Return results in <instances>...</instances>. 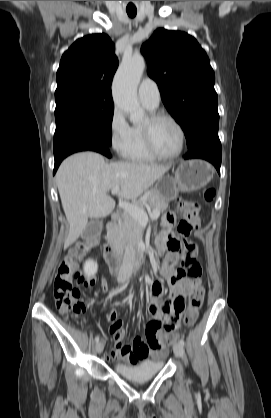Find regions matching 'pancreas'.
<instances>
[{
  "label": "pancreas",
  "instance_id": "pancreas-1",
  "mask_svg": "<svg viewBox=\"0 0 271 418\" xmlns=\"http://www.w3.org/2000/svg\"><path fill=\"white\" fill-rule=\"evenodd\" d=\"M146 199L149 208L153 211L157 210L161 213L167 208V201L154 189L146 193ZM135 204L143 209L147 206L146 202L141 199L136 201ZM110 235L120 240L123 245L128 241H140L143 235L142 224L128 212H124L118 219L116 227L111 230Z\"/></svg>",
  "mask_w": 271,
  "mask_h": 418
}]
</instances>
